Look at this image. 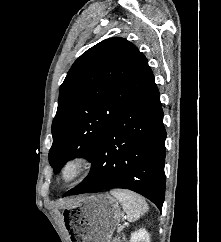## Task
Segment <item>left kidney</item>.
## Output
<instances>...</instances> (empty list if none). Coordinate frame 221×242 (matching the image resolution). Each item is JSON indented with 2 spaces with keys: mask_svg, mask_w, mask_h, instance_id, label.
<instances>
[{
  "mask_svg": "<svg viewBox=\"0 0 221 242\" xmlns=\"http://www.w3.org/2000/svg\"><path fill=\"white\" fill-rule=\"evenodd\" d=\"M130 242H150L149 235L145 229H139L131 234Z\"/></svg>",
  "mask_w": 221,
  "mask_h": 242,
  "instance_id": "obj_1",
  "label": "left kidney"
}]
</instances>
